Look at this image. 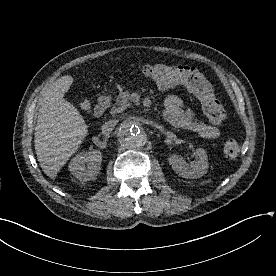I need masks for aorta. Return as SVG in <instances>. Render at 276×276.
Instances as JSON below:
<instances>
[{
	"label": "aorta",
	"instance_id": "762f6f07",
	"mask_svg": "<svg viewBox=\"0 0 276 276\" xmlns=\"http://www.w3.org/2000/svg\"><path fill=\"white\" fill-rule=\"evenodd\" d=\"M118 135L123 145L132 149L144 146L147 139L140 125L133 120L123 122L118 129Z\"/></svg>",
	"mask_w": 276,
	"mask_h": 276
}]
</instances>
